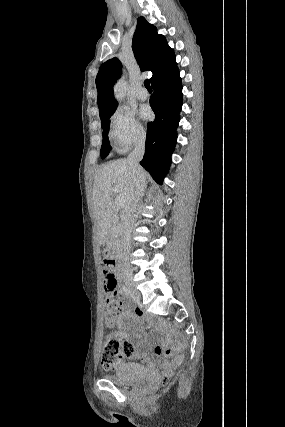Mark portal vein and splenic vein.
<instances>
[{
    "label": "portal vein and splenic vein",
    "instance_id": "portal-vein-and-splenic-vein-1",
    "mask_svg": "<svg viewBox=\"0 0 285 427\" xmlns=\"http://www.w3.org/2000/svg\"><path fill=\"white\" fill-rule=\"evenodd\" d=\"M115 204H116L117 208H122L124 206V201L120 196H118V197H116Z\"/></svg>",
    "mask_w": 285,
    "mask_h": 427
}]
</instances>
